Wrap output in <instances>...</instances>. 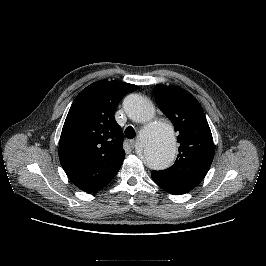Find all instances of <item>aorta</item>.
Listing matches in <instances>:
<instances>
[{"mask_svg":"<svg viewBox=\"0 0 266 266\" xmlns=\"http://www.w3.org/2000/svg\"><path fill=\"white\" fill-rule=\"evenodd\" d=\"M128 117L145 124L140 132L141 155L146 165L153 170L168 168L176 155V139L173 127L163 122H152L153 104L144 96L132 94L124 100Z\"/></svg>","mask_w":266,"mask_h":266,"instance_id":"1","label":"aorta"}]
</instances>
